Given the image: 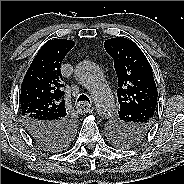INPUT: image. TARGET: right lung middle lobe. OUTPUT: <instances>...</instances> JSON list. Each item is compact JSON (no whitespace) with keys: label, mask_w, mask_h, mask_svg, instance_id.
Segmentation results:
<instances>
[{"label":"right lung middle lobe","mask_w":184,"mask_h":184,"mask_svg":"<svg viewBox=\"0 0 184 184\" xmlns=\"http://www.w3.org/2000/svg\"><path fill=\"white\" fill-rule=\"evenodd\" d=\"M73 132H74V130H73L72 132H70V134L67 135V138L63 141L62 144L53 145V146H47V148L53 149V150H54V149H55V150H59V149H61V148H64V146L70 141V139H71V137H72V135H73Z\"/></svg>","instance_id":"dd1d6c3e"}]
</instances>
